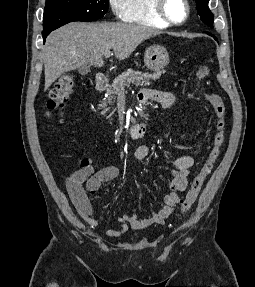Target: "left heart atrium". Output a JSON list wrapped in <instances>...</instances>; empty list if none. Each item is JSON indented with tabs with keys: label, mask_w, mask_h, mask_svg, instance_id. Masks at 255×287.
Masks as SVG:
<instances>
[{
	"label": "left heart atrium",
	"mask_w": 255,
	"mask_h": 287,
	"mask_svg": "<svg viewBox=\"0 0 255 287\" xmlns=\"http://www.w3.org/2000/svg\"><path fill=\"white\" fill-rule=\"evenodd\" d=\"M115 33H139V32H115ZM114 39H139V38H114ZM118 48H135V47H118Z\"/></svg>",
	"instance_id": "1"
}]
</instances>
